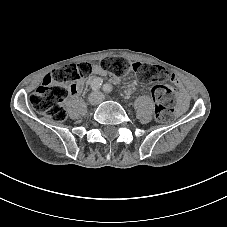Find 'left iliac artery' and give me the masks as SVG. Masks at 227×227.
I'll use <instances>...</instances> for the list:
<instances>
[{
  "label": "left iliac artery",
  "mask_w": 227,
  "mask_h": 227,
  "mask_svg": "<svg viewBox=\"0 0 227 227\" xmlns=\"http://www.w3.org/2000/svg\"><path fill=\"white\" fill-rule=\"evenodd\" d=\"M103 90H104L105 93H111L113 88H112V86L110 84H104L103 85Z\"/></svg>",
  "instance_id": "obj_1"
}]
</instances>
